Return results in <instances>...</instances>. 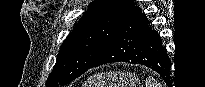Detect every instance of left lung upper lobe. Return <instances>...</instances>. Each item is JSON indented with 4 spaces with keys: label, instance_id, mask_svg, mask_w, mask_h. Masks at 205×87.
Segmentation results:
<instances>
[{
    "label": "left lung upper lobe",
    "instance_id": "obj_1",
    "mask_svg": "<svg viewBox=\"0 0 205 87\" xmlns=\"http://www.w3.org/2000/svg\"><path fill=\"white\" fill-rule=\"evenodd\" d=\"M134 6L133 0H95L67 36L46 87L66 85L87 71Z\"/></svg>",
    "mask_w": 205,
    "mask_h": 87
}]
</instances>
